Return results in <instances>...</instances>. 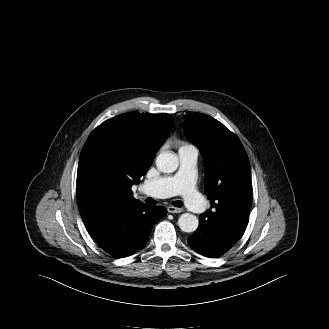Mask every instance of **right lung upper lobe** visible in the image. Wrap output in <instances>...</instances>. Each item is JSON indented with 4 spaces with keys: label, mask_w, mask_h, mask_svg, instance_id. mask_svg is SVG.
I'll use <instances>...</instances> for the list:
<instances>
[{
    "label": "right lung upper lobe",
    "mask_w": 329,
    "mask_h": 329,
    "mask_svg": "<svg viewBox=\"0 0 329 329\" xmlns=\"http://www.w3.org/2000/svg\"><path fill=\"white\" fill-rule=\"evenodd\" d=\"M172 125L169 114L125 113L92 131L77 170V192L85 219L104 208L140 203L131 187L147 173Z\"/></svg>",
    "instance_id": "right-lung-upper-lobe-1"
}]
</instances>
